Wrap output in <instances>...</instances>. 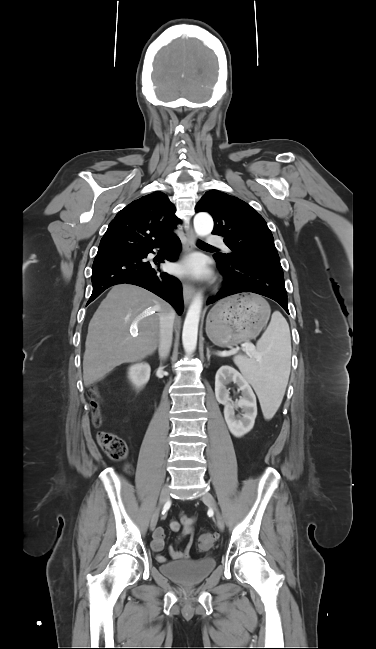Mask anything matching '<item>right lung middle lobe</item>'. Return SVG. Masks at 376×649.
Masks as SVG:
<instances>
[{
	"label": "right lung middle lobe",
	"instance_id": "dd1d6c3e",
	"mask_svg": "<svg viewBox=\"0 0 376 649\" xmlns=\"http://www.w3.org/2000/svg\"><path fill=\"white\" fill-rule=\"evenodd\" d=\"M126 254H130V253H126ZM96 257H101V256H96Z\"/></svg>",
	"mask_w": 376,
	"mask_h": 649
}]
</instances>
